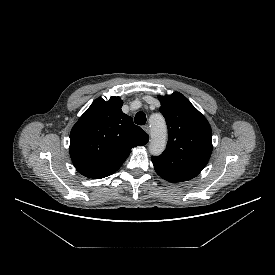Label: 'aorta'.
<instances>
[{
    "label": "aorta",
    "instance_id": "762f6f07",
    "mask_svg": "<svg viewBox=\"0 0 275 275\" xmlns=\"http://www.w3.org/2000/svg\"><path fill=\"white\" fill-rule=\"evenodd\" d=\"M166 145V126L162 116L157 119H151V142L149 145L150 151L158 155Z\"/></svg>",
    "mask_w": 275,
    "mask_h": 275
}]
</instances>
